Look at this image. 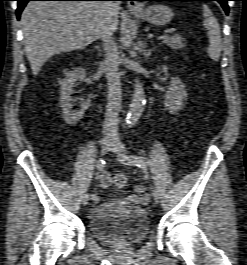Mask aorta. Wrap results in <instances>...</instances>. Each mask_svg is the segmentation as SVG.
<instances>
[{"label": "aorta", "instance_id": "1", "mask_svg": "<svg viewBox=\"0 0 247 265\" xmlns=\"http://www.w3.org/2000/svg\"><path fill=\"white\" fill-rule=\"evenodd\" d=\"M146 96L143 85L138 77L135 78L134 93L128 112V126H132L142 115Z\"/></svg>", "mask_w": 247, "mask_h": 265}]
</instances>
